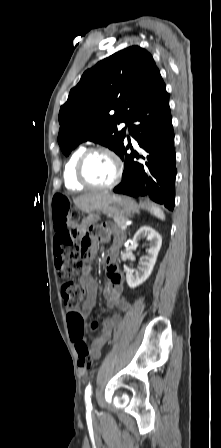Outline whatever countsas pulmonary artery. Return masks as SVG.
Segmentation results:
<instances>
[{
    "instance_id": "pulmonary-artery-1",
    "label": "pulmonary artery",
    "mask_w": 221,
    "mask_h": 448,
    "mask_svg": "<svg viewBox=\"0 0 221 448\" xmlns=\"http://www.w3.org/2000/svg\"><path fill=\"white\" fill-rule=\"evenodd\" d=\"M121 126H122V127H126V133L129 135V129H128V127H127V124H126V123H123Z\"/></svg>"
}]
</instances>
